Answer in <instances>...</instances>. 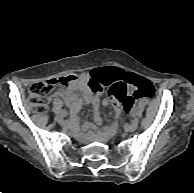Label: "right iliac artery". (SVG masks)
<instances>
[{"mask_svg": "<svg viewBox=\"0 0 194 193\" xmlns=\"http://www.w3.org/2000/svg\"><path fill=\"white\" fill-rule=\"evenodd\" d=\"M73 117H75V114H73V113H70V116H69V118H70V119H72Z\"/></svg>", "mask_w": 194, "mask_h": 193, "instance_id": "1", "label": "right iliac artery"}]
</instances>
